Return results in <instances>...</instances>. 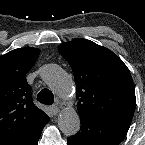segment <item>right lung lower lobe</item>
Returning <instances> with one entry per match:
<instances>
[{
    "label": "right lung lower lobe",
    "mask_w": 145,
    "mask_h": 145,
    "mask_svg": "<svg viewBox=\"0 0 145 145\" xmlns=\"http://www.w3.org/2000/svg\"><path fill=\"white\" fill-rule=\"evenodd\" d=\"M46 124L47 122L44 125H42L40 128L34 131L27 132L19 139L14 141L11 145H37L42 129Z\"/></svg>",
    "instance_id": "98d812e1"
}]
</instances>
